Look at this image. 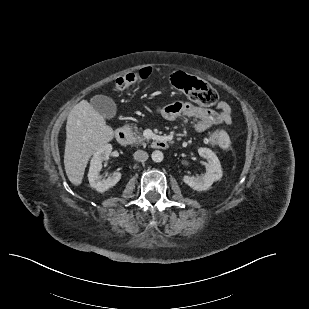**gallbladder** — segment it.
Masks as SVG:
<instances>
[{"mask_svg": "<svg viewBox=\"0 0 309 309\" xmlns=\"http://www.w3.org/2000/svg\"><path fill=\"white\" fill-rule=\"evenodd\" d=\"M90 104L103 117L113 118L116 115L115 102L105 95L93 96L90 100Z\"/></svg>", "mask_w": 309, "mask_h": 309, "instance_id": "1", "label": "gallbladder"}]
</instances>
